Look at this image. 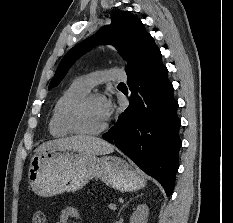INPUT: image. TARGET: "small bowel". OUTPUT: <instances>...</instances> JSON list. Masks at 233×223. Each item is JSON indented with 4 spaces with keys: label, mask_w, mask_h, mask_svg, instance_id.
<instances>
[{
    "label": "small bowel",
    "mask_w": 233,
    "mask_h": 223,
    "mask_svg": "<svg viewBox=\"0 0 233 223\" xmlns=\"http://www.w3.org/2000/svg\"><path fill=\"white\" fill-rule=\"evenodd\" d=\"M72 220L76 223L83 222L82 215L77 208L73 206H66L60 212L57 223H72Z\"/></svg>",
    "instance_id": "c3829d8e"
}]
</instances>
